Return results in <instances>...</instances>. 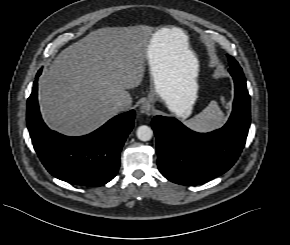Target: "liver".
<instances>
[{
	"mask_svg": "<svg viewBox=\"0 0 290 245\" xmlns=\"http://www.w3.org/2000/svg\"><path fill=\"white\" fill-rule=\"evenodd\" d=\"M155 34L158 55L172 82L196 77L198 60L186 33L173 27ZM152 37L136 27H106L62 50L39 82L40 110L49 126L66 135H82L119 112L116 100L130 108L128 89L143 79Z\"/></svg>",
	"mask_w": 290,
	"mask_h": 245,
	"instance_id": "1",
	"label": "liver"
}]
</instances>
